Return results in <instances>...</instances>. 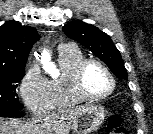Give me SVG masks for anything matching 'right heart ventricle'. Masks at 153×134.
Listing matches in <instances>:
<instances>
[{
  "label": "right heart ventricle",
  "instance_id": "1",
  "mask_svg": "<svg viewBox=\"0 0 153 134\" xmlns=\"http://www.w3.org/2000/svg\"><path fill=\"white\" fill-rule=\"evenodd\" d=\"M84 59L82 52L76 47L62 49L58 53V63L61 74L48 81L49 110H58L80 104L84 100L73 91L72 73L75 67Z\"/></svg>",
  "mask_w": 153,
  "mask_h": 134
}]
</instances>
